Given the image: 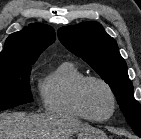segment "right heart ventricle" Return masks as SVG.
<instances>
[{"mask_svg": "<svg viewBox=\"0 0 141 139\" xmlns=\"http://www.w3.org/2000/svg\"><path fill=\"white\" fill-rule=\"evenodd\" d=\"M84 77L83 71L71 61H64L49 72L39 84L45 110L57 115L86 119L74 96L77 83Z\"/></svg>", "mask_w": 141, "mask_h": 139, "instance_id": "1", "label": "right heart ventricle"}]
</instances>
